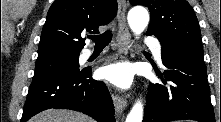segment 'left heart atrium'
<instances>
[{"label": "left heart atrium", "instance_id": "39dd6f15", "mask_svg": "<svg viewBox=\"0 0 221 122\" xmlns=\"http://www.w3.org/2000/svg\"><path fill=\"white\" fill-rule=\"evenodd\" d=\"M104 79L119 86L128 87L132 81V70L126 64H110L101 69Z\"/></svg>", "mask_w": 221, "mask_h": 122}]
</instances>
